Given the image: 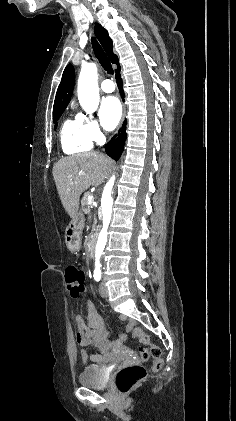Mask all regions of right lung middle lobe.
I'll return each mask as SVG.
<instances>
[{
    "label": "right lung middle lobe",
    "instance_id": "1",
    "mask_svg": "<svg viewBox=\"0 0 236 421\" xmlns=\"http://www.w3.org/2000/svg\"><path fill=\"white\" fill-rule=\"evenodd\" d=\"M64 110H65V108L53 110V121H54V124H56L55 128L57 126V121H58L59 117L63 114Z\"/></svg>",
    "mask_w": 236,
    "mask_h": 421
}]
</instances>
